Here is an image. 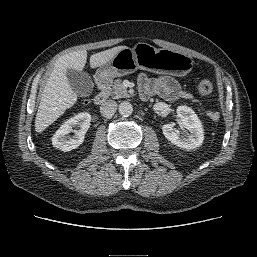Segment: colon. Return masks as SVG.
<instances>
[{
	"label": "colon",
	"mask_w": 257,
	"mask_h": 257,
	"mask_svg": "<svg viewBox=\"0 0 257 257\" xmlns=\"http://www.w3.org/2000/svg\"><path fill=\"white\" fill-rule=\"evenodd\" d=\"M198 91L201 95H209L213 91V85L209 80H202L198 85ZM207 115L213 121H217L220 118L219 112L213 110L209 111Z\"/></svg>",
	"instance_id": "obj_1"
}]
</instances>
